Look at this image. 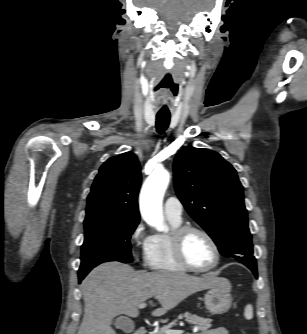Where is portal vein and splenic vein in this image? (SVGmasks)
I'll return each mask as SVG.
<instances>
[{
	"mask_svg": "<svg viewBox=\"0 0 307 334\" xmlns=\"http://www.w3.org/2000/svg\"><path fill=\"white\" fill-rule=\"evenodd\" d=\"M138 307L140 309H143V308L146 307V303H141V304H139ZM165 333L166 334H182V333H184V330H171V329H169V330H166Z\"/></svg>",
	"mask_w": 307,
	"mask_h": 334,
	"instance_id": "obj_1",
	"label": "portal vein and splenic vein"
}]
</instances>
